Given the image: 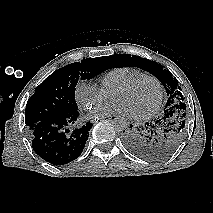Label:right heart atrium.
Here are the masks:
<instances>
[{"label": "right heart atrium", "instance_id": "1", "mask_svg": "<svg viewBox=\"0 0 213 213\" xmlns=\"http://www.w3.org/2000/svg\"><path fill=\"white\" fill-rule=\"evenodd\" d=\"M107 98L105 90L94 81H80L75 87V99L81 108L89 109Z\"/></svg>", "mask_w": 213, "mask_h": 213}]
</instances>
